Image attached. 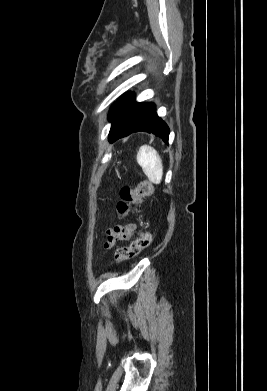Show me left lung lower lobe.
Listing matches in <instances>:
<instances>
[{
	"mask_svg": "<svg viewBox=\"0 0 267 391\" xmlns=\"http://www.w3.org/2000/svg\"><path fill=\"white\" fill-rule=\"evenodd\" d=\"M153 133L168 143L169 128L157 116L153 103H137L134 94H128L117 107L112 119L109 132V141L115 142L119 138L134 132Z\"/></svg>",
	"mask_w": 267,
	"mask_h": 391,
	"instance_id": "left-lung-lower-lobe-1",
	"label": "left lung lower lobe"
}]
</instances>
